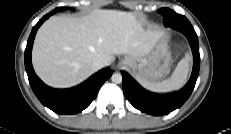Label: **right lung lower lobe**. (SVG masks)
<instances>
[{"mask_svg":"<svg viewBox=\"0 0 231 134\" xmlns=\"http://www.w3.org/2000/svg\"><path fill=\"white\" fill-rule=\"evenodd\" d=\"M53 13L44 16L33 27L25 50V68L31 88L44 106L59 114H75L87 108L95 99L102 84L111 76L112 70L102 69L85 84L69 89H55L44 85L33 70L31 50L37 29Z\"/></svg>","mask_w":231,"mask_h":134,"instance_id":"98d812e1","label":"right lung lower lobe"}]
</instances>
